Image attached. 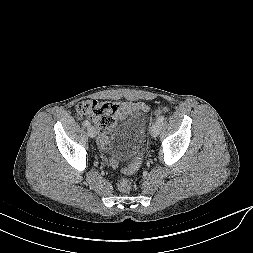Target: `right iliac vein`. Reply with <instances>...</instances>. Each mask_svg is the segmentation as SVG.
<instances>
[{"mask_svg": "<svg viewBox=\"0 0 253 253\" xmlns=\"http://www.w3.org/2000/svg\"><path fill=\"white\" fill-rule=\"evenodd\" d=\"M87 131H88V135L90 137H92V138L96 137L97 131H96V129L93 126H89Z\"/></svg>", "mask_w": 253, "mask_h": 253, "instance_id": "1", "label": "right iliac vein"}]
</instances>
